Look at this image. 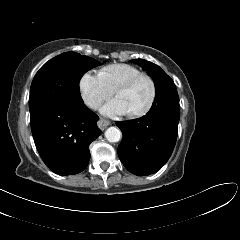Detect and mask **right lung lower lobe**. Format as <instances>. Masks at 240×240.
<instances>
[{
  "instance_id": "right-lung-lower-lobe-1",
  "label": "right lung lower lobe",
  "mask_w": 240,
  "mask_h": 240,
  "mask_svg": "<svg viewBox=\"0 0 240 240\" xmlns=\"http://www.w3.org/2000/svg\"><path fill=\"white\" fill-rule=\"evenodd\" d=\"M98 119L84 103L55 104L31 115L36 148L51 171L73 175L87 167L89 144L101 133L96 125Z\"/></svg>"
}]
</instances>
